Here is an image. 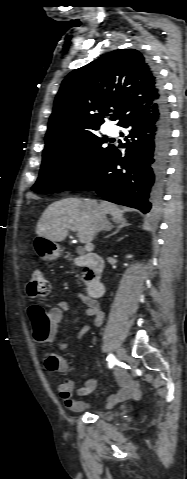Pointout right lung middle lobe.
Wrapping results in <instances>:
<instances>
[{
	"instance_id": "right-lung-middle-lobe-1",
	"label": "right lung middle lobe",
	"mask_w": 187,
	"mask_h": 479,
	"mask_svg": "<svg viewBox=\"0 0 187 479\" xmlns=\"http://www.w3.org/2000/svg\"><path fill=\"white\" fill-rule=\"evenodd\" d=\"M105 138L88 132L53 148L45 149L40 175L33 191L54 193L72 190L107 157L112 147Z\"/></svg>"
}]
</instances>
